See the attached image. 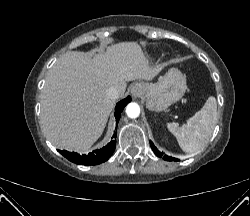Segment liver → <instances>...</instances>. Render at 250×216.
<instances>
[{"label":"liver","instance_id":"6515ba94","mask_svg":"<svg viewBox=\"0 0 250 216\" xmlns=\"http://www.w3.org/2000/svg\"><path fill=\"white\" fill-rule=\"evenodd\" d=\"M153 67L136 42H121L104 53L72 51L49 70L41 96V127L57 148L86 151L102 135L114 106L106 92L124 95L128 81L152 80Z\"/></svg>","mask_w":250,"mask_h":216}]
</instances>
